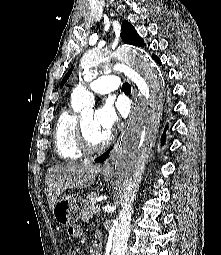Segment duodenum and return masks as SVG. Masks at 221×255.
I'll return each mask as SVG.
<instances>
[{
    "label": "duodenum",
    "mask_w": 221,
    "mask_h": 255,
    "mask_svg": "<svg viewBox=\"0 0 221 255\" xmlns=\"http://www.w3.org/2000/svg\"><path fill=\"white\" fill-rule=\"evenodd\" d=\"M94 255H102L100 246H97V247H96V249H95V251H94Z\"/></svg>",
    "instance_id": "duodenum-1"
}]
</instances>
